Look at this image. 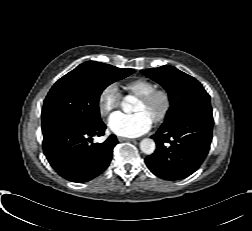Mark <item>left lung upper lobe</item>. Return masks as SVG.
Masks as SVG:
<instances>
[{"label":"left lung upper lobe","mask_w":252,"mask_h":231,"mask_svg":"<svg viewBox=\"0 0 252 231\" xmlns=\"http://www.w3.org/2000/svg\"><path fill=\"white\" fill-rule=\"evenodd\" d=\"M142 72L162 85L169 94L171 106L161 127L186 112L212 110L210 96L200 82L192 76L169 65Z\"/></svg>","instance_id":"left-lung-upper-lobe-1"}]
</instances>
